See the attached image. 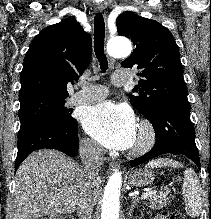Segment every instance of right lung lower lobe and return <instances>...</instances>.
Segmentation results:
<instances>
[{
  "instance_id": "98d812e1",
  "label": "right lung lower lobe",
  "mask_w": 211,
  "mask_h": 219,
  "mask_svg": "<svg viewBox=\"0 0 211 219\" xmlns=\"http://www.w3.org/2000/svg\"><path fill=\"white\" fill-rule=\"evenodd\" d=\"M78 147L76 120L71 124H63L54 120H41L30 123L19 130L15 170L35 150L56 149L74 157L78 153Z\"/></svg>"
}]
</instances>
